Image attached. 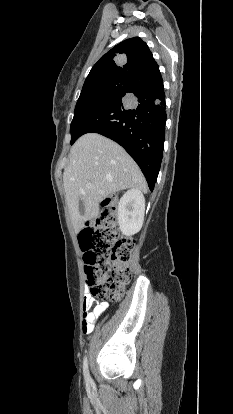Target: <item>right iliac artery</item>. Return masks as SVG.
I'll return each mask as SVG.
<instances>
[{
  "label": "right iliac artery",
  "instance_id": "obj_1",
  "mask_svg": "<svg viewBox=\"0 0 233 414\" xmlns=\"http://www.w3.org/2000/svg\"><path fill=\"white\" fill-rule=\"evenodd\" d=\"M83 373H84L85 381L87 383L91 382V377H90L89 370H88L87 357L84 358V362H83Z\"/></svg>",
  "mask_w": 233,
  "mask_h": 414
}]
</instances>
